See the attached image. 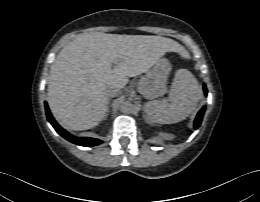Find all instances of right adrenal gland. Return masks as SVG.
I'll return each instance as SVG.
<instances>
[{"instance_id": "right-adrenal-gland-1", "label": "right adrenal gland", "mask_w": 260, "mask_h": 202, "mask_svg": "<svg viewBox=\"0 0 260 202\" xmlns=\"http://www.w3.org/2000/svg\"><path fill=\"white\" fill-rule=\"evenodd\" d=\"M109 104H110V101L108 102L107 112H106V116H105V118L108 116V113H109Z\"/></svg>"}]
</instances>
